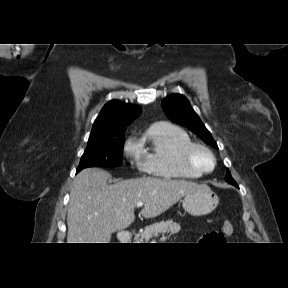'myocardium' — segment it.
Returning <instances> with one entry per match:
<instances>
[{
    "mask_svg": "<svg viewBox=\"0 0 288 288\" xmlns=\"http://www.w3.org/2000/svg\"><path fill=\"white\" fill-rule=\"evenodd\" d=\"M197 151L206 152L212 160V167L210 169H204L201 167L195 159V154ZM182 159L186 167L189 169L198 172L201 175H206L212 173L217 166V158L215 153L205 144L191 142L182 153Z\"/></svg>",
    "mask_w": 288,
    "mask_h": 288,
    "instance_id": "myocardium-1",
    "label": "myocardium"
}]
</instances>
